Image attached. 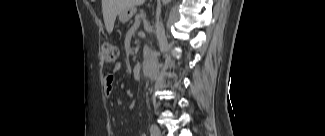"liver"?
<instances>
[{"label":"liver","instance_id":"obj_1","mask_svg":"<svg viewBox=\"0 0 325 136\" xmlns=\"http://www.w3.org/2000/svg\"><path fill=\"white\" fill-rule=\"evenodd\" d=\"M145 0H102V12L108 33L114 28L116 16L135 5H141Z\"/></svg>","mask_w":325,"mask_h":136}]
</instances>
